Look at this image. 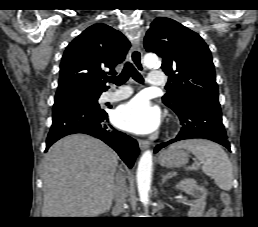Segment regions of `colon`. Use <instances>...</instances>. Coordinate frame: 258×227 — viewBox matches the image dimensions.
<instances>
[{"label": "colon", "instance_id": "obj_1", "mask_svg": "<svg viewBox=\"0 0 258 227\" xmlns=\"http://www.w3.org/2000/svg\"><path fill=\"white\" fill-rule=\"evenodd\" d=\"M222 200H223V205H224L222 214H223L224 218H230V216H232V209L230 206V203H231L230 196L226 193H223Z\"/></svg>", "mask_w": 258, "mask_h": 227}]
</instances>
